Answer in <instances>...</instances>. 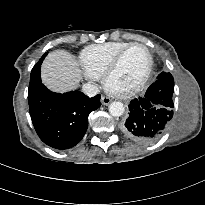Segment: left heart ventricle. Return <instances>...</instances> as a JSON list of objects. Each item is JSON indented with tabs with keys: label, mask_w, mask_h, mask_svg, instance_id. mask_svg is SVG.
Returning <instances> with one entry per match:
<instances>
[{
	"label": "left heart ventricle",
	"mask_w": 205,
	"mask_h": 205,
	"mask_svg": "<svg viewBox=\"0 0 205 205\" xmlns=\"http://www.w3.org/2000/svg\"><path fill=\"white\" fill-rule=\"evenodd\" d=\"M148 55L142 47H133L121 60L113 74L110 84L116 89H127L134 86L144 75L148 67Z\"/></svg>",
	"instance_id": "obj_1"
}]
</instances>
